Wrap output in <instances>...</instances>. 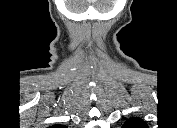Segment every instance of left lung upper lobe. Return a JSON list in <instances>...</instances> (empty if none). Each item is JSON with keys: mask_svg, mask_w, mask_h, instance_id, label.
Instances as JSON below:
<instances>
[{"mask_svg": "<svg viewBox=\"0 0 177 128\" xmlns=\"http://www.w3.org/2000/svg\"><path fill=\"white\" fill-rule=\"evenodd\" d=\"M124 128H147L146 123L140 118H130L123 125Z\"/></svg>", "mask_w": 177, "mask_h": 128, "instance_id": "5c2ea615", "label": "left lung upper lobe"}]
</instances>
